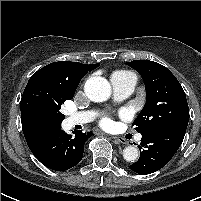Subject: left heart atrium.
Masks as SVG:
<instances>
[{"instance_id":"obj_1","label":"left heart atrium","mask_w":201,"mask_h":201,"mask_svg":"<svg viewBox=\"0 0 201 201\" xmlns=\"http://www.w3.org/2000/svg\"><path fill=\"white\" fill-rule=\"evenodd\" d=\"M101 124L103 127H110L111 124H112V121L110 120V118H103L102 121H101Z\"/></svg>"}]
</instances>
